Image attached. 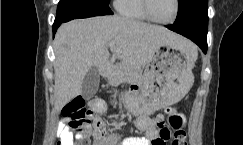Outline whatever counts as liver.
<instances>
[{"label":"liver","mask_w":243,"mask_h":145,"mask_svg":"<svg viewBox=\"0 0 243 145\" xmlns=\"http://www.w3.org/2000/svg\"><path fill=\"white\" fill-rule=\"evenodd\" d=\"M122 64L132 70L147 65L161 46L184 49L189 41L168 29L120 16L73 20L60 26L54 40L55 108L60 111L82 93L91 67L108 64V43Z\"/></svg>","instance_id":"obj_1"}]
</instances>
